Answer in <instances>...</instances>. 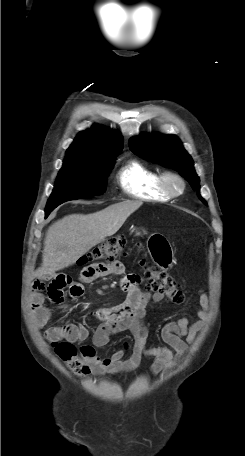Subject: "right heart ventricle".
<instances>
[{"mask_svg": "<svg viewBox=\"0 0 245 456\" xmlns=\"http://www.w3.org/2000/svg\"><path fill=\"white\" fill-rule=\"evenodd\" d=\"M160 173L139 161L131 160L117 173V182L128 196L141 200L168 201V196L159 186Z\"/></svg>", "mask_w": 245, "mask_h": 456, "instance_id": "e07e8e85", "label": "right heart ventricle"}]
</instances>
